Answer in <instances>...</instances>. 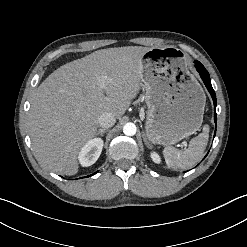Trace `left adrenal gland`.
Listing matches in <instances>:
<instances>
[{"label": "left adrenal gland", "instance_id": "1", "mask_svg": "<svg viewBox=\"0 0 247 247\" xmlns=\"http://www.w3.org/2000/svg\"><path fill=\"white\" fill-rule=\"evenodd\" d=\"M143 136H144V138H143V139H144V142H145L146 146H147V147H149V144H148V141H147V139H146L145 135H143Z\"/></svg>", "mask_w": 247, "mask_h": 247}]
</instances>
